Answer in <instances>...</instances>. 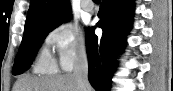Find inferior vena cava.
<instances>
[{
	"label": "inferior vena cava",
	"mask_w": 173,
	"mask_h": 91,
	"mask_svg": "<svg viewBox=\"0 0 173 91\" xmlns=\"http://www.w3.org/2000/svg\"><path fill=\"white\" fill-rule=\"evenodd\" d=\"M73 77L77 81L79 91H88V59L86 51H82L74 65Z\"/></svg>",
	"instance_id": "inferior-vena-cava-1"
}]
</instances>
